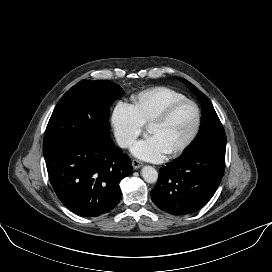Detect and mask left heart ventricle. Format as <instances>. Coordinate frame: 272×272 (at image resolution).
<instances>
[{
  "mask_svg": "<svg viewBox=\"0 0 272 272\" xmlns=\"http://www.w3.org/2000/svg\"><path fill=\"white\" fill-rule=\"evenodd\" d=\"M195 124V111L190 105L179 108L166 122L148 127V134L157 137L170 152L182 145L191 134Z\"/></svg>",
  "mask_w": 272,
  "mask_h": 272,
  "instance_id": "obj_1",
  "label": "left heart ventricle"
}]
</instances>
